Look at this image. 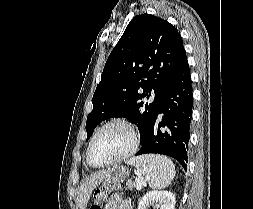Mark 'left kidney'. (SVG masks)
Wrapping results in <instances>:
<instances>
[{
  "label": "left kidney",
  "mask_w": 253,
  "mask_h": 209,
  "mask_svg": "<svg viewBox=\"0 0 253 209\" xmlns=\"http://www.w3.org/2000/svg\"><path fill=\"white\" fill-rule=\"evenodd\" d=\"M153 204H156L160 209H175V195L166 190L147 192L140 200L137 209H148Z\"/></svg>",
  "instance_id": "left-kidney-1"
}]
</instances>
